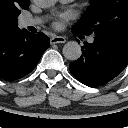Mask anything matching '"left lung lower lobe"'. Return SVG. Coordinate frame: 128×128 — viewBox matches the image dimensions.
<instances>
[{
  "label": "left lung lower lobe",
  "mask_w": 128,
  "mask_h": 128,
  "mask_svg": "<svg viewBox=\"0 0 128 128\" xmlns=\"http://www.w3.org/2000/svg\"><path fill=\"white\" fill-rule=\"evenodd\" d=\"M75 33H80L72 28ZM82 34V33H81ZM128 65V36L94 37L85 43L81 57L69 65L73 76L89 87L105 85Z\"/></svg>",
  "instance_id": "0a47b994"
}]
</instances>
